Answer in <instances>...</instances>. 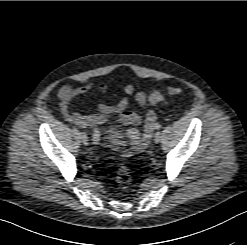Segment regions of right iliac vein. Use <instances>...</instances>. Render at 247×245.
Segmentation results:
<instances>
[{"label":"right iliac vein","mask_w":247,"mask_h":245,"mask_svg":"<svg viewBox=\"0 0 247 245\" xmlns=\"http://www.w3.org/2000/svg\"><path fill=\"white\" fill-rule=\"evenodd\" d=\"M81 139L83 144L87 145L88 144V137L85 133H81Z\"/></svg>","instance_id":"obj_1"}]
</instances>
